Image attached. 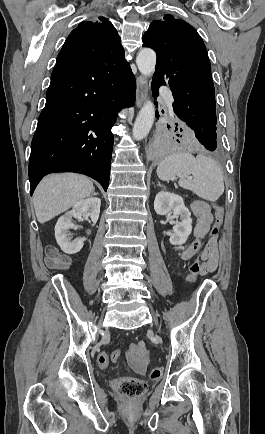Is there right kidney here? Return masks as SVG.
<instances>
[{
  "label": "right kidney",
  "instance_id": "ca27d5eb",
  "mask_svg": "<svg viewBox=\"0 0 265 434\" xmlns=\"http://www.w3.org/2000/svg\"><path fill=\"white\" fill-rule=\"evenodd\" d=\"M100 206L101 200L99 198H86V200L77 202L71 212H67L59 218L55 226V238L64 254H77L84 246L83 240L72 242L71 238H68L69 230L76 228L72 218H85V220L90 218L93 224H96L100 214Z\"/></svg>",
  "mask_w": 265,
  "mask_h": 434
}]
</instances>
